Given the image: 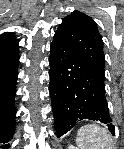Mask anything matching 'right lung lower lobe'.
Masks as SVG:
<instances>
[{
	"instance_id": "98d812e1",
	"label": "right lung lower lobe",
	"mask_w": 124,
	"mask_h": 149,
	"mask_svg": "<svg viewBox=\"0 0 124 149\" xmlns=\"http://www.w3.org/2000/svg\"><path fill=\"white\" fill-rule=\"evenodd\" d=\"M18 40H0V143L6 149L15 129V86L18 77Z\"/></svg>"
}]
</instances>
